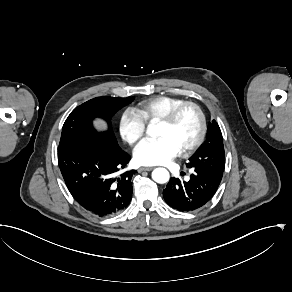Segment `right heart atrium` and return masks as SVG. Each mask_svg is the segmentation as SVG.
<instances>
[{
	"label": "right heart atrium",
	"instance_id": "obj_1",
	"mask_svg": "<svg viewBox=\"0 0 292 292\" xmlns=\"http://www.w3.org/2000/svg\"><path fill=\"white\" fill-rule=\"evenodd\" d=\"M118 131L121 138L130 145L140 141L146 132V122L135 108H125L118 120Z\"/></svg>",
	"mask_w": 292,
	"mask_h": 292
}]
</instances>
